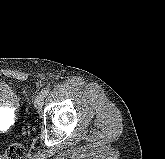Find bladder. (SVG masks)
I'll use <instances>...</instances> for the list:
<instances>
[{"instance_id": "31cf9c89", "label": "bladder", "mask_w": 165, "mask_h": 159, "mask_svg": "<svg viewBox=\"0 0 165 159\" xmlns=\"http://www.w3.org/2000/svg\"><path fill=\"white\" fill-rule=\"evenodd\" d=\"M18 100L14 89L7 83L0 81V106L11 105Z\"/></svg>"}]
</instances>
